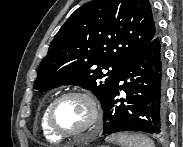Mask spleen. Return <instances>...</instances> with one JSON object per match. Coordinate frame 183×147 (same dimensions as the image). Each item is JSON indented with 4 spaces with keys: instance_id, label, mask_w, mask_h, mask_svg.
<instances>
[{
    "instance_id": "spleen-1",
    "label": "spleen",
    "mask_w": 183,
    "mask_h": 147,
    "mask_svg": "<svg viewBox=\"0 0 183 147\" xmlns=\"http://www.w3.org/2000/svg\"><path fill=\"white\" fill-rule=\"evenodd\" d=\"M106 141L116 143L120 147H155L147 136L137 133H117L106 138Z\"/></svg>"
}]
</instances>
